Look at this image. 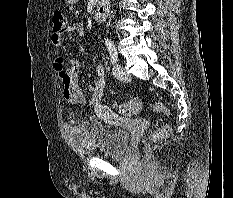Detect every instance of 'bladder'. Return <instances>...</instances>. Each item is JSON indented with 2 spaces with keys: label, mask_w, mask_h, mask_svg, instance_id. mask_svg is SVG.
Masks as SVG:
<instances>
[{
  "label": "bladder",
  "mask_w": 233,
  "mask_h": 198,
  "mask_svg": "<svg viewBox=\"0 0 233 198\" xmlns=\"http://www.w3.org/2000/svg\"><path fill=\"white\" fill-rule=\"evenodd\" d=\"M70 136L78 150L98 156H121L131 140V134L126 129L107 128L94 122L74 124Z\"/></svg>",
  "instance_id": "bladder-1"
}]
</instances>
